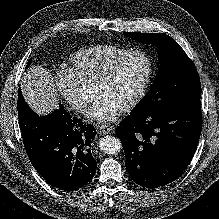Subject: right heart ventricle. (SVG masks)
Here are the masks:
<instances>
[{"mask_svg": "<svg viewBox=\"0 0 219 219\" xmlns=\"http://www.w3.org/2000/svg\"><path fill=\"white\" fill-rule=\"evenodd\" d=\"M130 49L120 45H97L76 52L70 59L71 70L81 80H97L105 69Z\"/></svg>", "mask_w": 219, "mask_h": 219, "instance_id": "obj_1", "label": "right heart ventricle"}]
</instances>
